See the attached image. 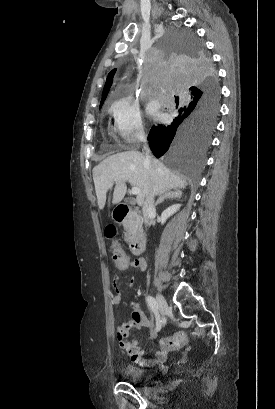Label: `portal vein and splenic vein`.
I'll return each instance as SVG.
<instances>
[{
  "mask_svg": "<svg viewBox=\"0 0 275 409\" xmlns=\"http://www.w3.org/2000/svg\"><path fill=\"white\" fill-rule=\"evenodd\" d=\"M131 192L132 194H139L140 188H137V186H132Z\"/></svg>",
  "mask_w": 275,
  "mask_h": 409,
  "instance_id": "portal-vein-and-splenic-vein-1",
  "label": "portal vein and splenic vein"
}]
</instances>
